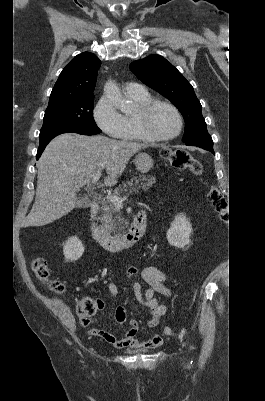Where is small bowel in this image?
<instances>
[{
  "label": "small bowel",
  "mask_w": 265,
  "mask_h": 401,
  "mask_svg": "<svg viewBox=\"0 0 265 401\" xmlns=\"http://www.w3.org/2000/svg\"><path fill=\"white\" fill-rule=\"evenodd\" d=\"M129 277L140 275L141 278L148 284L146 290L143 291L142 286L139 282H135L132 286L134 296L138 302L148 308L150 318L147 325L150 328L157 327L161 321V318L166 314L167 307L155 297L156 293H160L166 296L173 294L172 289L167 285L168 276L162 270L155 266H148L142 270L135 267H131L127 271ZM107 289L112 297L118 296V287L113 282L107 283ZM103 308V303L101 302ZM109 317H114L117 324L122 326L126 322L127 311L122 305L115 306L109 313ZM91 322L90 319L82 320L83 325H87ZM139 332V324L136 320L129 321V328L122 338H117L112 333L93 329L90 330L92 336H97L105 340L108 344L115 348H130L134 350L153 349L161 345L162 337L160 335H154L148 340L137 339L136 336Z\"/></svg>",
  "instance_id": "small-bowel-1"
}]
</instances>
